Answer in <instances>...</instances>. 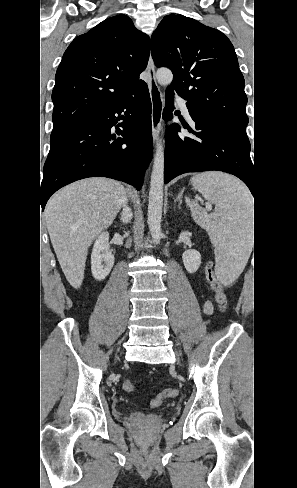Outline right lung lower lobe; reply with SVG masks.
I'll list each match as a JSON object with an SVG mask.
<instances>
[{
  "instance_id": "1",
  "label": "right lung lower lobe",
  "mask_w": 297,
  "mask_h": 488,
  "mask_svg": "<svg viewBox=\"0 0 297 488\" xmlns=\"http://www.w3.org/2000/svg\"><path fill=\"white\" fill-rule=\"evenodd\" d=\"M50 146L41 183L42 211L54 192L83 178L109 177L140 190L153 149L146 83L112 107L52 133Z\"/></svg>"
}]
</instances>
